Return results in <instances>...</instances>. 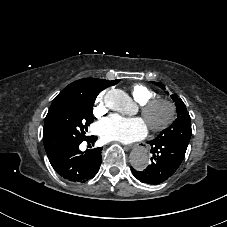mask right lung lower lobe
<instances>
[{
    "mask_svg": "<svg viewBox=\"0 0 227 227\" xmlns=\"http://www.w3.org/2000/svg\"><path fill=\"white\" fill-rule=\"evenodd\" d=\"M96 139L95 136H86L82 141L94 143ZM82 141L66 143L46 152L56 172L74 182H85L93 178L98 172L102 160L101 148L80 151L79 145Z\"/></svg>",
    "mask_w": 227,
    "mask_h": 227,
    "instance_id": "1",
    "label": "right lung lower lobe"
}]
</instances>
